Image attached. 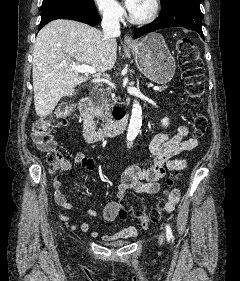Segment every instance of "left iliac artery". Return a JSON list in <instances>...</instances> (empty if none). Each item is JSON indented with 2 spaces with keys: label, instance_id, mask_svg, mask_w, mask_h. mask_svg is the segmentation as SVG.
I'll return each instance as SVG.
<instances>
[{
  "label": "left iliac artery",
  "instance_id": "1",
  "mask_svg": "<svg viewBox=\"0 0 240 281\" xmlns=\"http://www.w3.org/2000/svg\"><path fill=\"white\" fill-rule=\"evenodd\" d=\"M166 236L168 241H170L171 238L173 237L171 227L168 224L166 225Z\"/></svg>",
  "mask_w": 240,
  "mask_h": 281
}]
</instances>
